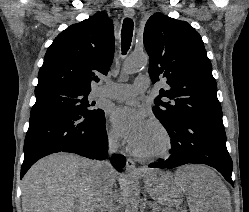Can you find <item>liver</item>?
Listing matches in <instances>:
<instances>
[{
    "label": "liver",
    "mask_w": 249,
    "mask_h": 212,
    "mask_svg": "<svg viewBox=\"0 0 249 212\" xmlns=\"http://www.w3.org/2000/svg\"><path fill=\"white\" fill-rule=\"evenodd\" d=\"M97 162L75 154H51L36 162L22 180L23 212H95ZM113 184L117 172H110ZM146 192L161 206L179 208L184 196L190 212H231L230 194L220 176L204 164L181 166L173 176L143 168Z\"/></svg>",
    "instance_id": "obj_1"
}]
</instances>
